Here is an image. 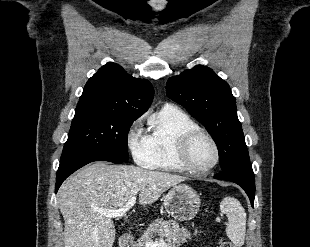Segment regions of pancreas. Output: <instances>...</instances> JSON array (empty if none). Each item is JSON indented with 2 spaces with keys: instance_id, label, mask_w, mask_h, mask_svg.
<instances>
[{
  "instance_id": "cf45deb5",
  "label": "pancreas",
  "mask_w": 310,
  "mask_h": 247,
  "mask_svg": "<svg viewBox=\"0 0 310 247\" xmlns=\"http://www.w3.org/2000/svg\"><path fill=\"white\" fill-rule=\"evenodd\" d=\"M198 233L200 232L196 230L194 234ZM154 236H159V241H164L167 247H179L186 243L187 239H191V234L186 228H180L172 220L157 219L143 232L134 247H145L146 243L152 241Z\"/></svg>"
}]
</instances>
